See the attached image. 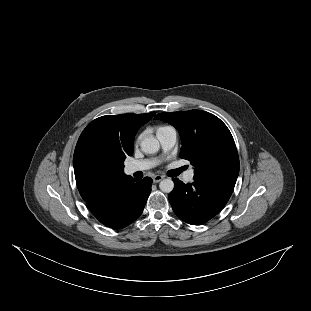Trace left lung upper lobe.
<instances>
[{
	"label": "left lung upper lobe",
	"mask_w": 311,
	"mask_h": 311,
	"mask_svg": "<svg viewBox=\"0 0 311 311\" xmlns=\"http://www.w3.org/2000/svg\"><path fill=\"white\" fill-rule=\"evenodd\" d=\"M160 119L180 133V157L194 166V179L236 182L239 157L227 126L216 116L201 110L160 113Z\"/></svg>",
	"instance_id": "obj_1"
}]
</instances>
